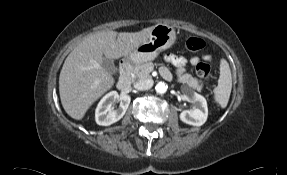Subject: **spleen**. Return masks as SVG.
Instances as JSON below:
<instances>
[{
	"mask_svg": "<svg viewBox=\"0 0 287 175\" xmlns=\"http://www.w3.org/2000/svg\"><path fill=\"white\" fill-rule=\"evenodd\" d=\"M232 90V76L228 62L222 59L220 62V77L218 79V86L214 92V100L222 108L228 104Z\"/></svg>",
	"mask_w": 287,
	"mask_h": 175,
	"instance_id": "3e777b00",
	"label": "spleen"
}]
</instances>
